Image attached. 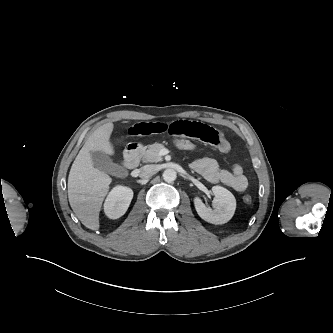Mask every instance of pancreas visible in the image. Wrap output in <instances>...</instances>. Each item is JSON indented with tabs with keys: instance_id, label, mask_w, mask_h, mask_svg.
<instances>
[{
	"instance_id": "1",
	"label": "pancreas",
	"mask_w": 333,
	"mask_h": 333,
	"mask_svg": "<svg viewBox=\"0 0 333 333\" xmlns=\"http://www.w3.org/2000/svg\"><path fill=\"white\" fill-rule=\"evenodd\" d=\"M163 148L164 145L160 143L145 146L140 151V157L143 162H160L162 160V156L159 155V152Z\"/></svg>"
}]
</instances>
